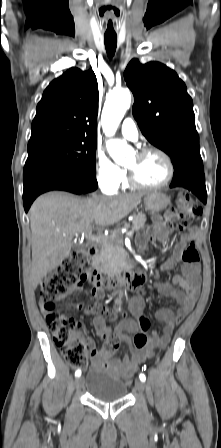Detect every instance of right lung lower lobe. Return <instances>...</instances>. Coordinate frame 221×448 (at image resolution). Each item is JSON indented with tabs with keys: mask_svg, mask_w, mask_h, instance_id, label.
Masks as SVG:
<instances>
[{
	"mask_svg": "<svg viewBox=\"0 0 221 448\" xmlns=\"http://www.w3.org/2000/svg\"><path fill=\"white\" fill-rule=\"evenodd\" d=\"M23 203L27 212L37 196L51 190L87 194L98 187L95 177L50 164L35 163L24 166Z\"/></svg>",
	"mask_w": 221,
	"mask_h": 448,
	"instance_id": "obj_1",
	"label": "right lung lower lobe"
}]
</instances>
